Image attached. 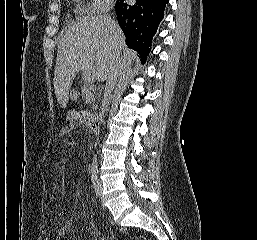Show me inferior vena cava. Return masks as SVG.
I'll return each instance as SVG.
<instances>
[{
  "label": "inferior vena cava",
  "instance_id": "inferior-vena-cava-1",
  "mask_svg": "<svg viewBox=\"0 0 257 240\" xmlns=\"http://www.w3.org/2000/svg\"><path fill=\"white\" fill-rule=\"evenodd\" d=\"M109 28H110L111 34L113 36V39H114L113 43L115 46V53H114V59H113V66H112L110 74L107 78V82H106L105 90H104V106H105L106 110L108 108L109 97L117 84L120 67H121V60H122L120 44H119L118 36L116 33V25L113 21L110 23Z\"/></svg>",
  "mask_w": 257,
  "mask_h": 240
}]
</instances>
